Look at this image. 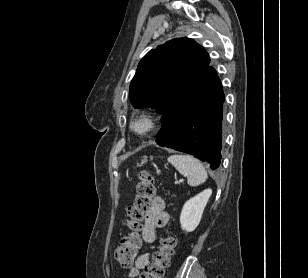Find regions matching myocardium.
<instances>
[{
	"instance_id": "1",
	"label": "myocardium",
	"mask_w": 308,
	"mask_h": 278,
	"mask_svg": "<svg viewBox=\"0 0 308 278\" xmlns=\"http://www.w3.org/2000/svg\"><path fill=\"white\" fill-rule=\"evenodd\" d=\"M138 125H142V127L139 128ZM129 127L136 136L146 138L156 131L158 120L153 114L143 112L135 115L131 119Z\"/></svg>"
}]
</instances>
